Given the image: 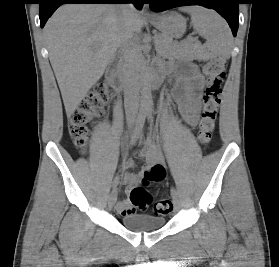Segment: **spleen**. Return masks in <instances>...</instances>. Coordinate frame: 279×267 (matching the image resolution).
Returning <instances> with one entry per match:
<instances>
[{"label": "spleen", "mask_w": 279, "mask_h": 267, "mask_svg": "<svg viewBox=\"0 0 279 267\" xmlns=\"http://www.w3.org/2000/svg\"><path fill=\"white\" fill-rule=\"evenodd\" d=\"M181 11L191 15L194 29L206 39V43L194 53L198 60L207 61L214 56L230 57L232 35L217 12L201 6L182 8Z\"/></svg>", "instance_id": "obj_1"}]
</instances>
